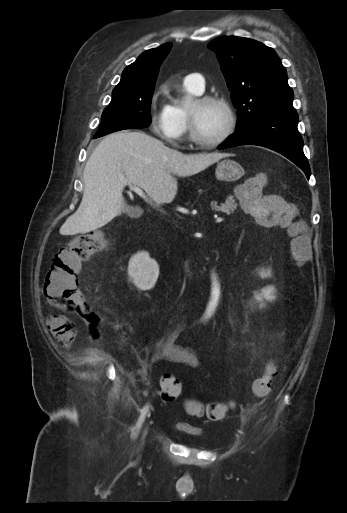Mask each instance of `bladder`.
<instances>
[{
	"label": "bladder",
	"mask_w": 347,
	"mask_h": 513,
	"mask_svg": "<svg viewBox=\"0 0 347 513\" xmlns=\"http://www.w3.org/2000/svg\"><path fill=\"white\" fill-rule=\"evenodd\" d=\"M177 428L178 430L184 432V433H187V434H190V435H201V431L193 426H191L190 424L186 423V422H179L177 424Z\"/></svg>",
	"instance_id": "31cf9c89"
}]
</instances>
